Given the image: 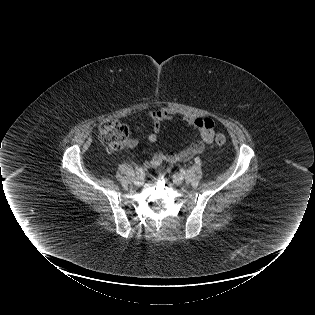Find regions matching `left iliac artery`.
Listing matches in <instances>:
<instances>
[{
    "label": "left iliac artery",
    "mask_w": 315,
    "mask_h": 315,
    "mask_svg": "<svg viewBox=\"0 0 315 315\" xmlns=\"http://www.w3.org/2000/svg\"><path fill=\"white\" fill-rule=\"evenodd\" d=\"M195 162H196V163H200V159H199L198 157H197V158H195ZM181 172H182L183 174L185 173V171H184V170H182Z\"/></svg>",
    "instance_id": "obj_1"
}]
</instances>
